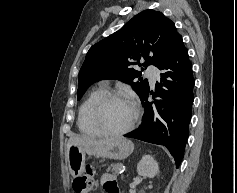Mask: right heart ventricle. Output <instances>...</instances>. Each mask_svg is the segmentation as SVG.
Listing matches in <instances>:
<instances>
[{
  "mask_svg": "<svg viewBox=\"0 0 237 193\" xmlns=\"http://www.w3.org/2000/svg\"><path fill=\"white\" fill-rule=\"evenodd\" d=\"M106 89L104 87H99L91 91L88 96L85 98V100L82 102L79 111H78V119H77V125L81 133L92 136V137H98L101 136V134L94 128L90 121L89 113L90 108L93 104V102L96 100V98L105 92Z\"/></svg>",
  "mask_w": 237,
  "mask_h": 193,
  "instance_id": "e07e8e85",
  "label": "right heart ventricle"
}]
</instances>
